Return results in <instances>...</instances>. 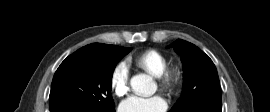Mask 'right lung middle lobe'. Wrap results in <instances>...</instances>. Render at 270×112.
Listing matches in <instances>:
<instances>
[{
  "label": "right lung middle lobe",
  "instance_id": "1",
  "mask_svg": "<svg viewBox=\"0 0 270 112\" xmlns=\"http://www.w3.org/2000/svg\"><path fill=\"white\" fill-rule=\"evenodd\" d=\"M130 51L131 48L95 43L69 55L53 77L50 109L78 106L113 110V70Z\"/></svg>",
  "mask_w": 270,
  "mask_h": 112
}]
</instances>
